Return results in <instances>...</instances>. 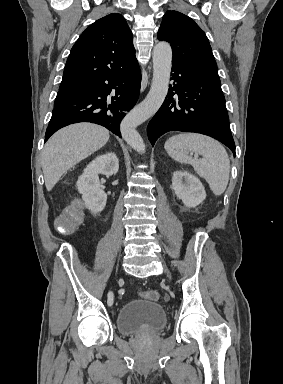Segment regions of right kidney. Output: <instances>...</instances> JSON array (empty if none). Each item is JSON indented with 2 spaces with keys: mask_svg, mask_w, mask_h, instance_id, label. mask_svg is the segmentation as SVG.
I'll return each mask as SVG.
<instances>
[{
  "mask_svg": "<svg viewBox=\"0 0 283 384\" xmlns=\"http://www.w3.org/2000/svg\"><path fill=\"white\" fill-rule=\"evenodd\" d=\"M119 170V162L116 154H105V156H98L91 164L85 168L82 176L77 180V190L82 194V200L92 212V214H99L105 208L107 202V194L103 192L98 174L104 176H113Z\"/></svg>",
  "mask_w": 283,
  "mask_h": 384,
  "instance_id": "right-kidney-1",
  "label": "right kidney"
}]
</instances>
